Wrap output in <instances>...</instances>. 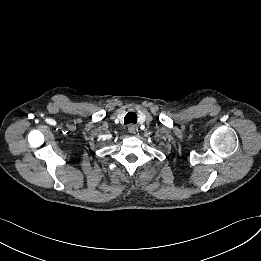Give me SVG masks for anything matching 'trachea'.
Listing matches in <instances>:
<instances>
[{
  "instance_id": "1",
  "label": "trachea",
  "mask_w": 261,
  "mask_h": 261,
  "mask_svg": "<svg viewBox=\"0 0 261 261\" xmlns=\"http://www.w3.org/2000/svg\"><path fill=\"white\" fill-rule=\"evenodd\" d=\"M125 124L134 123L137 122V115L134 112H129L124 119Z\"/></svg>"
}]
</instances>
